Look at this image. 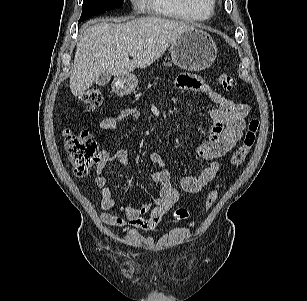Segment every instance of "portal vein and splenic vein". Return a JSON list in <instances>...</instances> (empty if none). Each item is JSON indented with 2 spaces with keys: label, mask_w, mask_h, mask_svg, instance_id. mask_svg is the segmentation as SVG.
I'll list each match as a JSON object with an SVG mask.
<instances>
[{
  "label": "portal vein and splenic vein",
  "mask_w": 307,
  "mask_h": 301,
  "mask_svg": "<svg viewBox=\"0 0 307 301\" xmlns=\"http://www.w3.org/2000/svg\"><path fill=\"white\" fill-rule=\"evenodd\" d=\"M130 55H131V56H135V55H136V52H135V51H132V52H130Z\"/></svg>",
  "instance_id": "portal-vein-and-splenic-vein-1"
}]
</instances>
